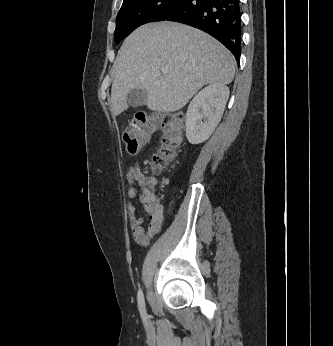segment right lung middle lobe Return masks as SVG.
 I'll list each match as a JSON object with an SVG mask.
<instances>
[{"instance_id": "obj_1", "label": "right lung middle lobe", "mask_w": 333, "mask_h": 346, "mask_svg": "<svg viewBox=\"0 0 333 346\" xmlns=\"http://www.w3.org/2000/svg\"><path fill=\"white\" fill-rule=\"evenodd\" d=\"M183 0H124L117 15L115 42H120L137 27L169 17Z\"/></svg>"}]
</instances>
